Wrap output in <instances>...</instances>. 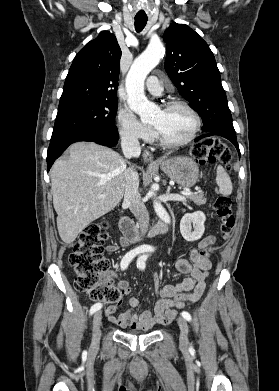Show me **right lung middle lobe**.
Returning a JSON list of instances; mask_svg holds the SVG:
<instances>
[{"label": "right lung middle lobe", "instance_id": "right-lung-middle-lobe-1", "mask_svg": "<svg viewBox=\"0 0 279 391\" xmlns=\"http://www.w3.org/2000/svg\"><path fill=\"white\" fill-rule=\"evenodd\" d=\"M117 100H96L58 109L52 137L102 125H115Z\"/></svg>", "mask_w": 279, "mask_h": 391}]
</instances>
